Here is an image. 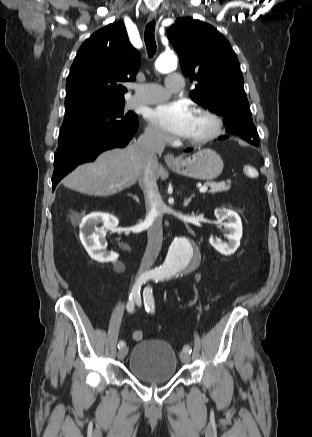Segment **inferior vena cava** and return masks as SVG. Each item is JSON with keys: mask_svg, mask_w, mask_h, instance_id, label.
<instances>
[{"mask_svg": "<svg viewBox=\"0 0 312 437\" xmlns=\"http://www.w3.org/2000/svg\"><path fill=\"white\" fill-rule=\"evenodd\" d=\"M137 147L144 161V170L139 177V184L144 193L146 222L148 223V244L140 264V271L148 270L157 259L162 246L163 201L157 187V154L165 147L164 135L156 129H148L137 140Z\"/></svg>", "mask_w": 312, "mask_h": 437, "instance_id": "inferior-vena-cava-1", "label": "inferior vena cava"}]
</instances>
